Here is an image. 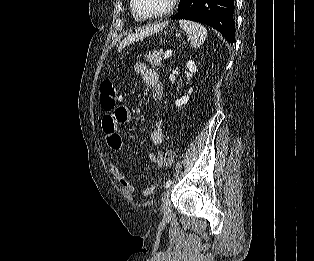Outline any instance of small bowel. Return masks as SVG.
Masks as SVG:
<instances>
[{
	"mask_svg": "<svg viewBox=\"0 0 314 261\" xmlns=\"http://www.w3.org/2000/svg\"><path fill=\"white\" fill-rule=\"evenodd\" d=\"M135 74L142 76L145 84L151 87L152 97L154 100H161L163 97V85L159 80L156 71L147 68L142 62H137L133 66ZM131 120V112L126 107H119L118 109H108V115L102 119V128L106 133V141L108 146L115 151L123 148V140L118 133V127H123ZM149 138L152 144L161 145L164 141V129L162 121L158 120L152 127L149 133ZM149 160L154 162L158 167H162L163 153H152ZM109 169L111 174L118 180L121 187L127 192H133L135 186L133 182L121 171L116 164H110ZM153 188H146L143 191L144 195L152 193Z\"/></svg>",
	"mask_w": 314,
	"mask_h": 261,
	"instance_id": "1",
	"label": "small bowel"
}]
</instances>
